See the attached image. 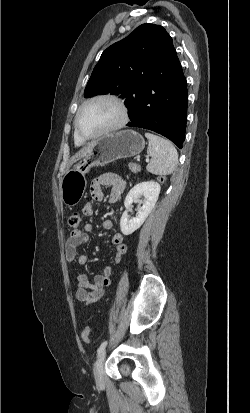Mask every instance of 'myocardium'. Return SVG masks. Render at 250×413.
<instances>
[{"label": "myocardium", "instance_id": "f54148a6", "mask_svg": "<svg viewBox=\"0 0 250 413\" xmlns=\"http://www.w3.org/2000/svg\"><path fill=\"white\" fill-rule=\"evenodd\" d=\"M98 101H109L114 103L119 111H120V118L119 120L112 126L96 133L93 135H85L83 134L80 129H79V117L81 115V112L83 111V109L88 106L91 103L94 102H98ZM129 122V110L126 106V104L124 103V101L118 97L117 95L114 94H110V93H105V94H98L95 95L89 99H87L85 102H83V104L79 107L76 115H75V119H74V128H75V134L83 141H87V140H94V139H98L101 138L103 136L115 133L119 130H121L122 128H124L127 123Z\"/></svg>", "mask_w": 250, "mask_h": 413}]
</instances>
